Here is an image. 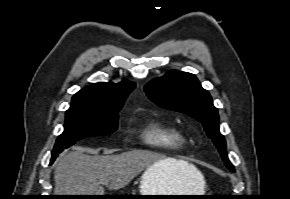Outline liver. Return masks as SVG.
<instances>
[{
  "mask_svg": "<svg viewBox=\"0 0 290 199\" xmlns=\"http://www.w3.org/2000/svg\"><path fill=\"white\" fill-rule=\"evenodd\" d=\"M156 164L166 173L178 178L174 189L176 193H192L195 175L200 172L194 165L184 160L164 158L147 150H131L106 156H90L82 151L62 154L55 168L54 193L104 195L105 191L101 186L104 182H110V190H118L128 185L140 172Z\"/></svg>",
  "mask_w": 290,
  "mask_h": 199,
  "instance_id": "obj_1",
  "label": "liver"
}]
</instances>
